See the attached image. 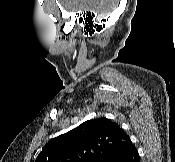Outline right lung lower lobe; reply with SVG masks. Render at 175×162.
I'll use <instances>...</instances> for the list:
<instances>
[{
	"label": "right lung lower lobe",
	"mask_w": 175,
	"mask_h": 162,
	"mask_svg": "<svg viewBox=\"0 0 175 162\" xmlns=\"http://www.w3.org/2000/svg\"><path fill=\"white\" fill-rule=\"evenodd\" d=\"M112 162H140L138 151L133 146L129 151L115 157Z\"/></svg>",
	"instance_id": "right-lung-lower-lobe-1"
}]
</instances>
